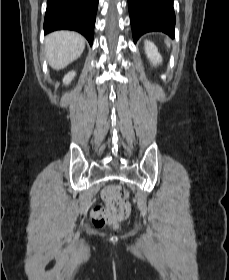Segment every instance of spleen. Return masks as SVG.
Instances as JSON below:
<instances>
[{
	"label": "spleen",
	"mask_w": 229,
	"mask_h": 280,
	"mask_svg": "<svg viewBox=\"0 0 229 280\" xmlns=\"http://www.w3.org/2000/svg\"><path fill=\"white\" fill-rule=\"evenodd\" d=\"M165 43L168 47H170V42L168 40H165Z\"/></svg>",
	"instance_id": "obj_1"
}]
</instances>
